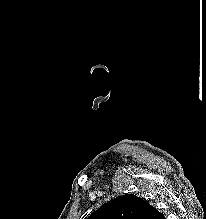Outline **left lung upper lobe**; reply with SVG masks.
Returning <instances> with one entry per match:
<instances>
[{
  "mask_svg": "<svg viewBox=\"0 0 206 219\" xmlns=\"http://www.w3.org/2000/svg\"><path fill=\"white\" fill-rule=\"evenodd\" d=\"M154 209L142 198L125 194L105 203L87 219H151Z\"/></svg>",
  "mask_w": 206,
  "mask_h": 219,
  "instance_id": "5c2ea615",
  "label": "left lung upper lobe"
}]
</instances>
